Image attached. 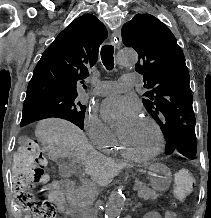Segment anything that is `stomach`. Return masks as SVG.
<instances>
[{
    "instance_id": "0dacf381",
    "label": "stomach",
    "mask_w": 211,
    "mask_h": 218,
    "mask_svg": "<svg viewBox=\"0 0 211 218\" xmlns=\"http://www.w3.org/2000/svg\"><path fill=\"white\" fill-rule=\"evenodd\" d=\"M151 186L157 191H165L171 183V171L163 164H155L149 171Z\"/></svg>"
}]
</instances>
